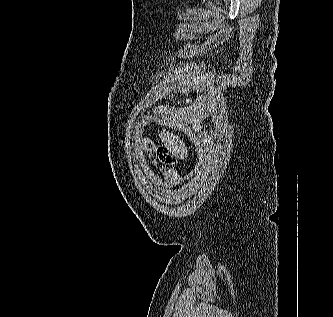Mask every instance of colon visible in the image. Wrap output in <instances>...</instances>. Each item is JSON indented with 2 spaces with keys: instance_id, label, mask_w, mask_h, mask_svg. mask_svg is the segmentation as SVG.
<instances>
[{
  "instance_id": "1",
  "label": "colon",
  "mask_w": 333,
  "mask_h": 317,
  "mask_svg": "<svg viewBox=\"0 0 333 317\" xmlns=\"http://www.w3.org/2000/svg\"><path fill=\"white\" fill-rule=\"evenodd\" d=\"M157 155H158V159L168 165H171L174 163V157L171 155V153L166 150L163 147H159L157 150Z\"/></svg>"
}]
</instances>
